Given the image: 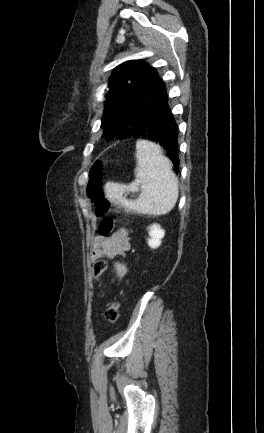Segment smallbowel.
I'll return each instance as SVG.
<instances>
[{"instance_id": "1", "label": "small bowel", "mask_w": 264, "mask_h": 433, "mask_svg": "<svg viewBox=\"0 0 264 433\" xmlns=\"http://www.w3.org/2000/svg\"><path fill=\"white\" fill-rule=\"evenodd\" d=\"M130 249V240L125 230H119L111 236H98L92 250V259L110 260L124 256Z\"/></svg>"}]
</instances>
